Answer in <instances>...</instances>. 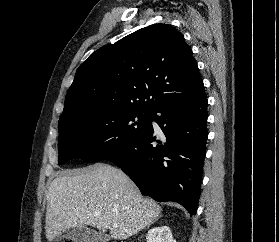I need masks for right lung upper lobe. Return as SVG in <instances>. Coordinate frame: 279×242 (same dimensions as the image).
<instances>
[{
  "label": "right lung upper lobe",
  "mask_w": 279,
  "mask_h": 242,
  "mask_svg": "<svg viewBox=\"0 0 279 242\" xmlns=\"http://www.w3.org/2000/svg\"><path fill=\"white\" fill-rule=\"evenodd\" d=\"M192 50L168 24L142 28L93 52L77 69L59 124L127 110L153 113L203 87Z\"/></svg>",
  "instance_id": "1"
}]
</instances>
